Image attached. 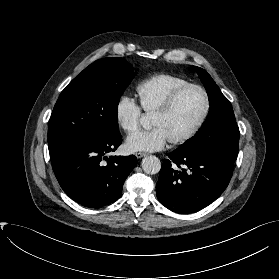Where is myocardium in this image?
I'll return each instance as SVG.
<instances>
[{
    "label": "myocardium",
    "instance_id": "myocardium-1",
    "mask_svg": "<svg viewBox=\"0 0 279 279\" xmlns=\"http://www.w3.org/2000/svg\"><path fill=\"white\" fill-rule=\"evenodd\" d=\"M189 89H196L202 93V95L204 97L203 110H202L201 115L199 116L198 120L195 122V124L192 126V128L187 133H185L183 136H181L179 138L170 140V143H172L173 145H180V144H184V143L190 141L202 128L203 124L205 123V121L208 117L209 111H210V96H209L207 90L203 86L198 85V84L188 83V84L182 85V86L174 89L169 94V96L166 98L164 103L157 110H155L152 113V115H158V116L166 115L173 108L178 97L183 92H185Z\"/></svg>",
    "mask_w": 279,
    "mask_h": 279
}]
</instances>
